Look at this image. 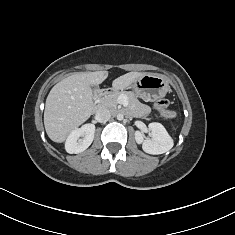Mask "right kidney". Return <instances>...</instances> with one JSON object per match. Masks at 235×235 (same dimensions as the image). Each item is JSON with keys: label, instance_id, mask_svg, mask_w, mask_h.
Instances as JSON below:
<instances>
[{"label": "right kidney", "instance_id": "right-kidney-1", "mask_svg": "<svg viewBox=\"0 0 235 235\" xmlns=\"http://www.w3.org/2000/svg\"><path fill=\"white\" fill-rule=\"evenodd\" d=\"M94 133V124H85L81 128L73 130L66 140V151L70 154H78L85 151L93 142Z\"/></svg>", "mask_w": 235, "mask_h": 235}]
</instances>
